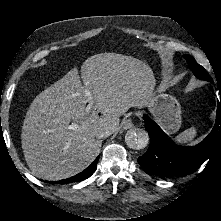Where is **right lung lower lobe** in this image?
I'll return each instance as SVG.
<instances>
[{
	"instance_id": "1",
	"label": "right lung lower lobe",
	"mask_w": 221,
	"mask_h": 221,
	"mask_svg": "<svg viewBox=\"0 0 221 221\" xmlns=\"http://www.w3.org/2000/svg\"><path fill=\"white\" fill-rule=\"evenodd\" d=\"M98 160H99V157H97L89 167H87L85 170H83L82 172L78 173L75 176H72V177L67 178V179L59 180V181H53V182H50V183L61 184L62 185V184H69V183H73V182L82 181V180L90 177L94 173V171L97 168Z\"/></svg>"
}]
</instances>
